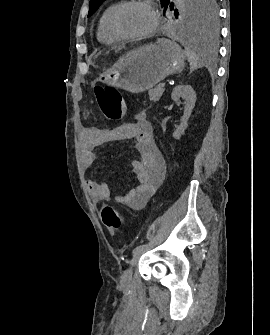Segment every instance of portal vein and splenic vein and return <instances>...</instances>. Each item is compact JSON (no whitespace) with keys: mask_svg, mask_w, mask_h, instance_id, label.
<instances>
[{"mask_svg":"<svg viewBox=\"0 0 270 335\" xmlns=\"http://www.w3.org/2000/svg\"><path fill=\"white\" fill-rule=\"evenodd\" d=\"M161 83H162V84H161L162 87H164V86L166 85V84H165L166 82H165L164 80H163Z\"/></svg>","mask_w":270,"mask_h":335,"instance_id":"18ae733b","label":"portal vein and splenic vein"}]
</instances>
